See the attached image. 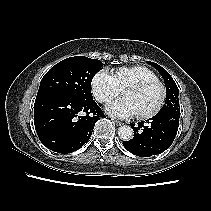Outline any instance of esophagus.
<instances>
[{
  "mask_svg": "<svg viewBox=\"0 0 211 211\" xmlns=\"http://www.w3.org/2000/svg\"><path fill=\"white\" fill-rule=\"evenodd\" d=\"M113 123L116 124L117 126H122V125H124L123 122L118 121V120H113Z\"/></svg>",
  "mask_w": 211,
  "mask_h": 211,
  "instance_id": "esophagus-1",
  "label": "esophagus"
}]
</instances>
